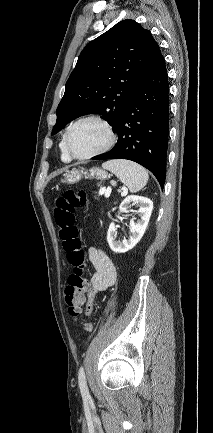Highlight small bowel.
<instances>
[{"label":"small bowel","instance_id":"small-bowel-1","mask_svg":"<svg viewBox=\"0 0 213 433\" xmlns=\"http://www.w3.org/2000/svg\"><path fill=\"white\" fill-rule=\"evenodd\" d=\"M89 256V289L87 292L86 314L90 315L97 293L114 285L117 271L113 261L106 253L96 247L88 249Z\"/></svg>","mask_w":213,"mask_h":433}]
</instances>
